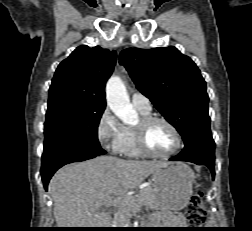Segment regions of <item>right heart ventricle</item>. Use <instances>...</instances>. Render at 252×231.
Masks as SVG:
<instances>
[{"mask_svg":"<svg viewBox=\"0 0 252 231\" xmlns=\"http://www.w3.org/2000/svg\"><path fill=\"white\" fill-rule=\"evenodd\" d=\"M143 117L150 116V111L145 112L138 109ZM119 152L130 157H143L145 154L139 149L133 127L124 126V137Z\"/></svg>","mask_w":252,"mask_h":231,"instance_id":"e07e8e85","label":"right heart ventricle"}]
</instances>
